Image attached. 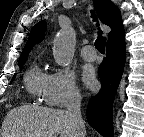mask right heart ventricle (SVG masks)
Returning a JSON list of instances; mask_svg holds the SVG:
<instances>
[{
  "label": "right heart ventricle",
  "instance_id": "right-heart-ventricle-1",
  "mask_svg": "<svg viewBox=\"0 0 144 137\" xmlns=\"http://www.w3.org/2000/svg\"><path fill=\"white\" fill-rule=\"evenodd\" d=\"M48 74L38 64H33L25 74L26 90L35 96L43 93L47 84Z\"/></svg>",
  "mask_w": 144,
  "mask_h": 137
}]
</instances>
